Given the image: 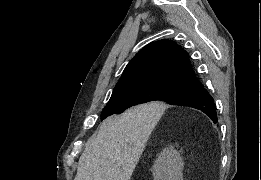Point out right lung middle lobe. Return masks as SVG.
<instances>
[{"label": "right lung middle lobe", "mask_w": 261, "mask_h": 180, "mask_svg": "<svg viewBox=\"0 0 261 180\" xmlns=\"http://www.w3.org/2000/svg\"><path fill=\"white\" fill-rule=\"evenodd\" d=\"M203 89L202 84L190 81H156L113 90L112 96L101 113V120L109 115L124 112L141 103L161 100L167 103Z\"/></svg>", "instance_id": "1"}]
</instances>
